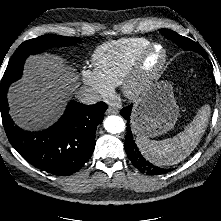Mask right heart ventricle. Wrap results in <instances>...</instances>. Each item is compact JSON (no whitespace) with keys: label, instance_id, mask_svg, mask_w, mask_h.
Instances as JSON below:
<instances>
[{"label":"right heart ventricle","instance_id":"e07e8e85","mask_svg":"<svg viewBox=\"0 0 221 221\" xmlns=\"http://www.w3.org/2000/svg\"><path fill=\"white\" fill-rule=\"evenodd\" d=\"M150 44L142 37L122 38L98 46L93 53L95 70L111 87L121 84L138 54Z\"/></svg>","mask_w":221,"mask_h":221}]
</instances>
